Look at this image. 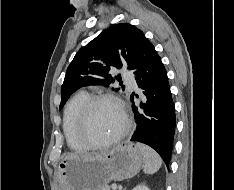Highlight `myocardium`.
Instances as JSON below:
<instances>
[{"label": "myocardium", "instance_id": "1", "mask_svg": "<svg viewBox=\"0 0 234 190\" xmlns=\"http://www.w3.org/2000/svg\"><path fill=\"white\" fill-rule=\"evenodd\" d=\"M103 101H109L114 103L115 105L118 106L120 109L123 119H124V125L122 129L113 137L110 139L103 141V142H95L88 134V123H89V118L91 111L93 107ZM132 126V121L130 118V115L128 113V110L125 106V104L116 96L112 94H96V95H91L87 98L85 103L83 104L79 118H78V126H77V132L79 138L90 148H104L110 145H113L120 141L131 129Z\"/></svg>", "mask_w": 234, "mask_h": 190}]
</instances>
